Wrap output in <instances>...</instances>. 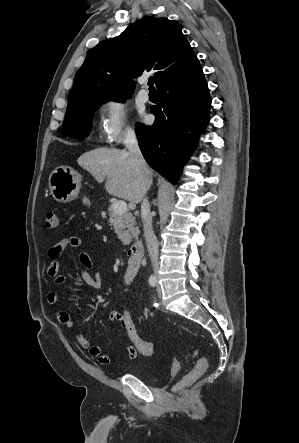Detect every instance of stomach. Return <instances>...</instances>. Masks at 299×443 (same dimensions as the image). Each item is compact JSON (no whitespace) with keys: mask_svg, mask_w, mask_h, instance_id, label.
Returning <instances> with one entry per match:
<instances>
[{"mask_svg":"<svg viewBox=\"0 0 299 443\" xmlns=\"http://www.w3.org/2000/svg\"><path fill=\"white\" fill-rule=\"evenodd\" d=\"M81 186V175L68 166H59L49 176V188L59 203H68L77 198ZM84 203L88 200L84 198Z\"/></svg>","mask_w":299,"mask_h":443,"instance_id":"1","label":"stomach"}]
</instances>
